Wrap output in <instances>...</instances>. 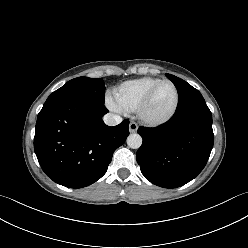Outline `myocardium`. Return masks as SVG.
<instances>
[{
    "label": "myocardium",
    "mask_w": 248,
    "mask_h": 248,
    "mask_svg": "<svg viewBox=\"0 0 248 248\" xmlns=\"http://www.w3.org/2000/svg\"><path fill=\"white\" fill-rule=\"evenodd\" d=\"M163 84H169L173 87L174 92H175V100H174V104L172 109L170 110V112L165 115L162 118H158V119H153L148 117L145 114V110L146 107L150 101V99L152 98L153 94L155 93V91ZM179 101H180V94H179V90L177 88V86L175 85L174 82H172L171 80H160L159 82H157L155 85H153L146 93L145 95L142 97V99L140 100L137 108H136V114L137 117L139 118V120L144 123L147 126H151V127H157V126H161L167 122H169L174 115L177 112L178 106H179Z\"/></svg>",
    "instance_id": "f54148a6"
}]
</instances>
